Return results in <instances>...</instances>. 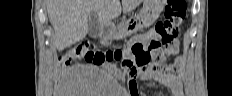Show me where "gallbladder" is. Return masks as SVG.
<instances>
[{
    "instance_id": "bac80fb5",
    "label": "gallbladder",
    "mask_w": 232,
    "mask_h": 96,
    "mask_svg": "<svg viewBox=\"0 0 232 96\" xmlns=\"http://www.w3.org/2000/svg\"><path fill=\"white\" fill-rule=\"evenodd\" d=\"M101 24L95 12H91L88 16V35L96 38L100 35Z\"/></svg>"
}]
</instances>
